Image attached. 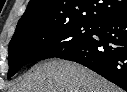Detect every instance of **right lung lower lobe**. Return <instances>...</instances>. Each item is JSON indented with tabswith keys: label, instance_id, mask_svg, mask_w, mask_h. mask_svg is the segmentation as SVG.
<instances>
[{
	"label": "right lung lower lobe",
	"instance_id": "1",
	"mask_svg": "<svg viewBox=\"0 0 127 92\" xmlns=\"http://www.w3.org/2000/svg\"><path fill=\"white\" fill-rule=\"evenodd\" d=\"M56 57L80 63L127 91V11L99 21L88 39Z\"/></svg>",
	"mask_w": 127,
	"mask_h": 92
}]
</instances>
